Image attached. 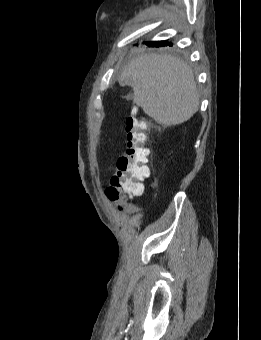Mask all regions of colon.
<instances>
[{"mask_svg":"<svg viewBox=\"0 0 261 340\" xmlns=\"http://www.w3.org/2000/svg\"><path fill=\"white\" fill-rule=\"evenodd\" d=\"M146 129V123L134 116L126 120V154L117 160V173L106 189V196L117 204L120 211L128 207L131 198L141 195L142 182L149 176L147 162L150 151L145 144Z\"/></svg>","mask_w":261,"mask_h":340,"instance_id":"obj_1","label":"colon"}]
</instances>
